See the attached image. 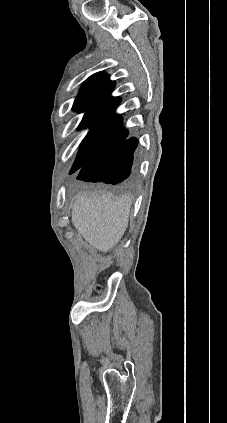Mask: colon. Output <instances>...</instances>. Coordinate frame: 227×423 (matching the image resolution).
Returning <instances> with one entry per match:
<instances>
[{"label":"colon","mask_w":227,"mask_h":423,"mask_svg":"<svg viewBox=\"0 0 227 423\" xmlns=\"http://www.w3.org/2000/svg\"><path fill=\"white\" fill-rule=\"evenodd\" d=\"M97 289H98V291H102V287H98Z\"/></svg>","instance_id":"obj_1"}]
</instances>
